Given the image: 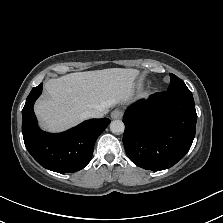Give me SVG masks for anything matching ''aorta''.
<instances>
[{
  "label": "aorta",
  "mask_w": 223,
  "mask_h": 223,
  "mask_svg": "<svg viewBox=\"0 0 223 223\" xmlns=\"http://www.w3.org/2000/svg\"><path fill=\"white\" fill-rule=\"evenodd\" d=\"M124 123L121 120H114L110 123V130L112 133H123Z\"/></svg>",
  "instance_id": "obj_1"
}]
</instances>
